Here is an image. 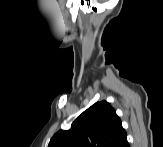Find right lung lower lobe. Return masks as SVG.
<instances>
[{"label":"right lung lower lobe","instance_id":"98d812e1","mask_svg":"<svg viewBox=\"0 0 163 147\" xmlns=\"http://www.w3.org/2000/svg\"><path fill=\"white\" fill-rule=\"evenodd\" d=\"M113 147H129L127 142V134H125L119 141H117Z\"/></svg>","mask_w":163,"mask_h":147}]
</instances>
